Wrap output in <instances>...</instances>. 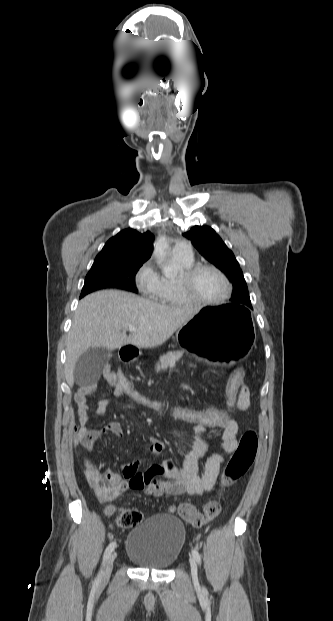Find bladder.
<instances>
[{
    "label": "bladder",
    "instance_id": "31cf9c89",
    "mask_svg": "<svg viewBox=\"0 0 333 621\" xmlns=\"http://www.w3.org/2000/svg\"><path fill=\"white\" fill-rule=\"evenodd\" d=\"M184 543L183 522L174 515L157 514L129 532L126 554L138 566L164 571L177 561Z\"/></svg>",
    "mask_w": 333,
    "mask_h": 621
}]
</instances>
